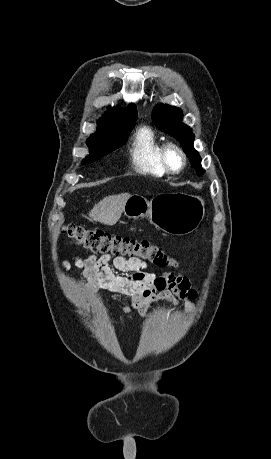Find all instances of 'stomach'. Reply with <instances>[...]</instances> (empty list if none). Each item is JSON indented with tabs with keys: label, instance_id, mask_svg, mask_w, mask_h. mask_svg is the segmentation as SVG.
Segmentation results:
<instances>
[{
	"label": "stomach",
	"instance_id": "stomach-1",
	"mask_svg": "<svg viewBox=\"0 0 271 459\" xmlns=\"http://www.w3.org/2000/svg\"><path fill=\"white\" fill-rule=\"evenodd\" d=\"M127 218H148L155 228L171 235H186L198 228L204 214V202L188 194H158L150 202L142 196H132L124 206Z\"/></svg>",
	"mask_w": 271,
	"mask_h": 459
}]
</instances>
